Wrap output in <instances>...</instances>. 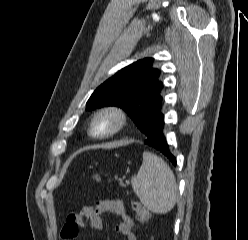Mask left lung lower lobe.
<instances>
[{"label":"left lung lower lobe","instance_id":"1","mask_svg":"<svg viewBox=\"0 0 248 240\" xmlns=\"http://www.w3.org/2000/svg\"><path fill=\"white\" fill-rule=\"evenodd\" d=\"M164 115L161 111L152 119L145 135L144 143L151 148L164 154L172 164L176 165V158L171 154L166 138L163 133Z\"/></svg>","mask_w":248,"mask_h":240}]
</instances>
